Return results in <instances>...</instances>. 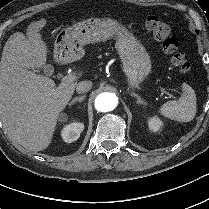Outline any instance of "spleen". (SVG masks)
Returning a JSON list of instances; mask_svg holds the SVG:
<instances>
[{
    "label": "spleen",
    "mask_w": 209,
    "mask_h": 209,
    "mask_svg": "<svg viewBox=\"0 0 209 209\" xmlns=\"http://www.w3.org/2000/svg\"><path fill=\"white\" fill-rule=\"evenodd\" d=\"M159 112L166 118L178 122H189L196 114V94L188 84H182V95L178 100L164 103Z\"/></svg>",
    "instance_id": "1"
}]
</instances>
